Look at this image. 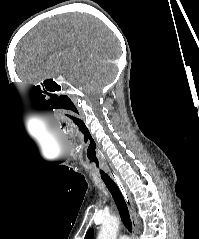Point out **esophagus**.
<instances>
[{
    "instance_id": "1",
    "label": "esophagus",
    "mask_w": 199,
    "mask_h": 239,
    "mask_svg": "<svg viewBox=\"0 0 199 239\" xmlns=\"http://www.w3.org/2000/svg\"><path fill=\"white\" fill-rule=\"evenodd\" d=\"M112 178L114 179V181L116 182V184L119 186L124 198H125V201L127 202V205L131 211V213L133 212V209H134V203H133V198L131 196V193L128 189V187L126 186L125 182L121 179V177L119 175H111ZM136 230H137V225H136V221L135 219H132V236H133V239H135V235H136Z\"/></svg>"
}]
</instances>
